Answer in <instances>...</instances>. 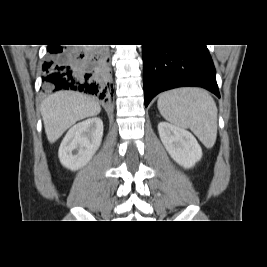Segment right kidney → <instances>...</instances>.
<instances>
[{
    "instance_id": "1",
    "label": "right kidney",
    "mask_w": 267,
    "mask_h": 267,
    "mask_svg": "<svg viewBox=\"0 0 267 267\" xmlns=\"http://www.w3.org/2000/svg\"><path fill=\"white\" fill-rule=\"evenodd\" d=\"M103 136V122L98 117L74 125L59 147L61 164L72 170L85 166L98 150Z\"/></svg>"
}]
</instances>
